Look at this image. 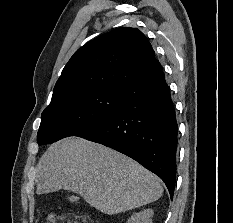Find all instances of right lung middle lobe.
I'll use <instances>...</instances> for the list:
<instances>
[{"label":"right lung middle lobe","instance_id":"1","mask_svg":"<svg viewBox=\"0 0 233 223\" xmlns=\"http://www.w3.org/2000/svg\"><path fill=\"white\" fill-rule=\"evenodd\" d=\"M121 89L93 88L60 96L42 112L38 144L56 142L84 132L112 117L121 108Z\"/></svg>","mask_w":233,"mask_h":223}]
</instances>
